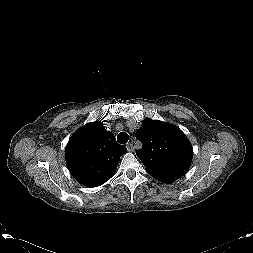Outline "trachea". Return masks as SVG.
<instances>
[{"instance_id":"trachea-1","label":"trachea","mask_w":253,"mask_h":253,"mask_svg":"<svg viewBox=\"0 0 253 253\" xmlns=\"http://www.w3.org/2000/svg\"><path fill=\"white\" fill-rule=\"evenodd\" d=\"M129 140V136L126 132H121L117 136V141L120 144H126Z\"/></svg>"}]
</instances>
